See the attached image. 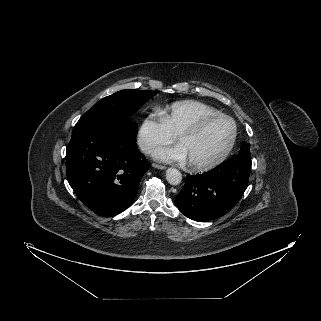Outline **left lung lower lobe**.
<instances>
[{"label": "left lung lower lobe", "instance_id": "obj_1", "mask_svg": "<svg viewBox=\"0 0 321 321\" xmlns=\"http://www.w3.org/2000/svg\"><path fill=\"white\" fill-rule=\"evenodd\" d=\"M251 157L238 154L201 175L186 177L175 199L188 218L205 222L229 212L248 186Z\"/></svg>", "mask_w": 321, "mask_h": 321}]
</instances>
